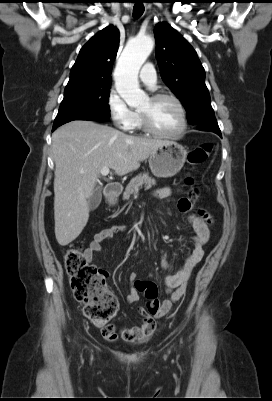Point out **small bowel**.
Listing matches in <instances>:
<instances>
[{"mask_svg": "<svg viewBox=\"0 0 272 401\" xmlns=\"http://www.w3.org/2000/svg\"><path fill=\"white\" fill-rule=\"evenodd\" d=\"M172 194L171 188H162L156 191V195L161 198L168 197ZM179 212L186 214L189 223L192 226L194 235L192 238V250L185 259L183 265L177 270H171L165 257L162 258L161 265L167 270L164 277L165 292L168 298L160 302L158 299V288L154 284L155 295L149 296V303L157 305L158 310L150 315H143V322L137 327H112L111 336L108 339L121 338L129 343H137L146 341L155 331V320L164 316L172 307L178 302L185 294L190 276L195 266L202 260L204 256L203 246L207 243L210 236V226L213 223L211 215L203 209H195L193 204L186 198H181L177 203ZM124 225H113L109 228L102 229L93 235L88 247L85 250V257L87 261L92 262L96 253L101 250V244L105 240L113 238L116 234L125 231ZM130 290L127 295V301L135 303L140 298L138 288L139 283H146L139 281L135 273L129 276Z\"/></svg>", "mask_w": 272, "mask_h": 401, "instance_id": "1", "label": "small bowel"}]
</instances>
